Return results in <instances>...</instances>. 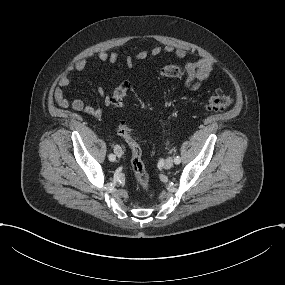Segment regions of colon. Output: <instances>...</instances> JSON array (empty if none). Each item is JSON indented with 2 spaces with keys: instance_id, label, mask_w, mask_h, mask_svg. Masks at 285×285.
<instances>
[{
  "instance_id": "obj_1",
  "label": "colon",
  "mask_w": 285,
  "mask_h": 285,
  "mask_svg": "<svg viewBox=\"0 0 285 285\" xmlns=\"http://www.w3.org/2000/svg\"><path fill=\"white\" fill-rule=\"evenodd\" d=\"M161 75L168 78H181L185 71L176 65H167L161 69ZM131 91V84L128 81H122L113 91L111 101L113 106H122ZM233 103L232 96L225 91H217L211 95L205 103V107L212 111H224ZM118 133L124 138L131 150V167L136 181L145 192L151 190L149 174L144 166L141 157V149L135 140L130 128L121 123L118 126Z\"/></svg>"
}]
</instances>
